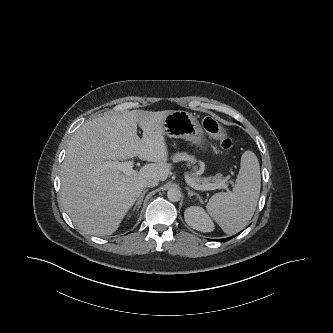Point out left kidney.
Here are the masks:
<instances>
[{
  "label": "left kidney",
  "instance_id": "obj_1",
  "mask_svg": "<svg viewBox=\"0 0 333 333\" xmlns=\"http://www.w3.org/2000/svg\"><path fill=\"white\" fill-rule=\"evenodd\" d=\"M184 218L186 223L193 229L201 232H211L214 230V223L203 208L190 206L185 210Z\"/></svg>",
  "mask_w": 333,
  "mask_h": 333
}]
</instances>
